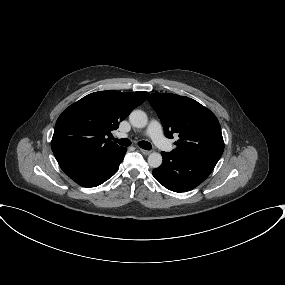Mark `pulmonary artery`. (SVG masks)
<instances>
[{"mask_svg": "<svg viewBox=\"0 0 285 285\" xmlns=\"http://www.w3.org/2000/svg\"><path fill=\"white\" fill-rule=\"evenodd\" d=\"M145 134L149 136L159 148L163 150H170V145L164 137L161 124L158 121H150ZM119 136L121 138L127 137L126 134H120Z\"/></svg>", "mask_w": 285, "mask_h": 285, "instance_id": "1", "label": "pulmonary artery"}]
</instances>
